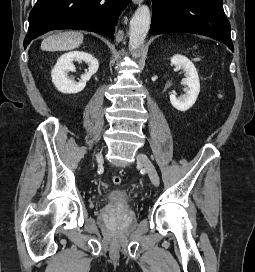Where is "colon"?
Here are the masks:
<instances>
[{"mask_svg":"<svg viewBox=\"0 0 255 272\" xmlns=\"http://www.w3.org/2000/svg\"><path fill=\"white\" fill-rule=\"evenodd\" d=\"M121 177L120 176H113L112 177V182H113V184H115V185H119L120 183H121Z\"/></svg>","mask_w":255,"mask_h":272,"instance_id":"obj_1","label":"colon"}]
</instances>
